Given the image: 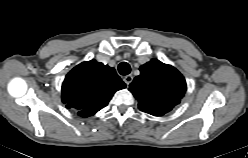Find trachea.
<instances>
[{"mask_svg":"<svg viewBox=\"0 0 248 158\" xmlns=\"http://www.w3.org/2000/svg\"><path fill=\"white\" fill-rule=\"evenodd\" d=\"M118 71L121 75H128L131 71L130 65L126 62H122L118 66Z\"/></svg>","mask_w":248,"mask_h":158,"instance_id":"1","label":"trachea"}]
</instances>
